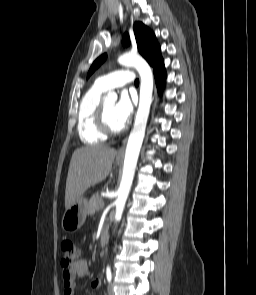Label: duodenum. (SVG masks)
<instances>
[{
	"label": "duodenum",
	"instance_id": "duodenum-1",
	"mask_svg": "<svg viewBox=\"0 0 256 295\" xmlns=\"http://www.w3.org/2000/svg\"><path fill=\"white\" fill-rule=\"evenodd\" d=\"M107 235H108V228L106 225H104L101 229L100 232V237H99V244L100 246L105 245L106 241H107Z\"/></svg>",
	"mask_w": 256,
	"mask_h": 295
}]
</instances>
